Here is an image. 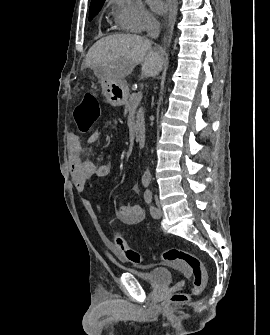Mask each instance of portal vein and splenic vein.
<instances>
[{
    "label": "portal vein and splenic vein",
    "mask_w": 270,
    "mask_h": 335,
    "mask_svg": "<svg viewBox=\"0 0 270 335\" xmlns=\"http://www.w3.org/2000/svg\"><path fill=\"white\" fill-rule=\"evenodd\" d=\"M135 96L138 101H141L143 99L144 93L142 90H139V91H136Z\"/></svg>",
    "instance_id": "18ae733b"
}]
</instances>
